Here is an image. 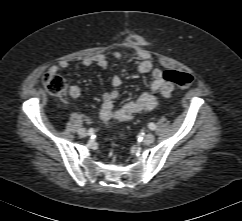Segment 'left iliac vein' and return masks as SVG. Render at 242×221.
Wrapping results in <instances>:
<instances>
[{
	"label": "left iliac vein",
	"instance_id": "obj_1",
	"mask_svg": "<svg viewBox=\"0 0 242 221\" xmlns=\"http://www.w3.org/2000/svg\"><path fill=\"white\" fill-rule=\"evenodd\" d=\"M155 141V136L151 133H148L144 136L143 142L147 145L152 144Z\"/></svg>",
	"mask_w": 242,
	"mask_h": 221
}]
</instances>
